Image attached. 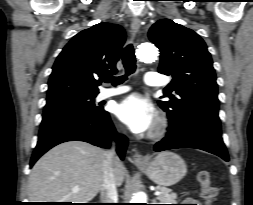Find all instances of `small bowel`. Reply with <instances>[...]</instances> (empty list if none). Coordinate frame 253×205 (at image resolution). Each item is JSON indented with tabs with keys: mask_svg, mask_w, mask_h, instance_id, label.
I'll return each instance as SVG.
<instances>
[{
	"mask_svg": "<svg viewBox=\"0 0 253 205\" xmlns=\"http://www.w3.org/2000/svg\"><path fill=\"white\" fill-rule=\"evenodd\" d=\"M189 201H192V200H189ZM189 205H199V204H189Z\"/></svg>",
	"mask_w": 253,
	"mask_h": 205,
	"instance_id": "1",
	"label": "small bowel"
}]
</instances>
